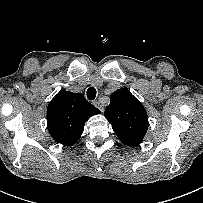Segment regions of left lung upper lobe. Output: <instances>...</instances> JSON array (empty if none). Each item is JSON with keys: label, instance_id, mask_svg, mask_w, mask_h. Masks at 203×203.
<instances>
[{"label": "left lung upper lobe", "instance_id": "left-lung-upper-lobe-1", "mask_svg": "<svg viewBox=\"0 0 203 203\" xmlns=\"http://www.w3.org/2000/svg\"><path fill=\"white\" fill-rule=\"evenodd\" d=\"M105 117L122 143L137 146L143 141L149 125L147 113L128 89L121 88L111 94Z\"/></svg>", "mask_w": 203, "mask_h": 203}]
</instances>
